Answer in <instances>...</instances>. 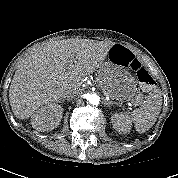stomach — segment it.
<instances>
[{
    "instance_id": "obj_1",
    "label": "stomach",
    "mask_w": 178,
    "mask_h": 178,
    "mask_svg": "<svg viewBox=\"0 0 178 178\" xmlns=\"http://www.w3.org/2000/svg\"><path fill=\"white\" fill-rule=\"evenodd\" d=\"M116 45L110 48L107 60L100 66L98 79L113 99L123 103L138 94V87L136 79L127 70L128 59L123 54H114Z\"/></svg>"
}]
</instances>
